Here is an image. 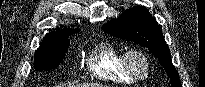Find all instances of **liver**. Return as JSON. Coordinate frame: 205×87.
Segmentation results:
<instances>
[{"label": "liver", "instance_id": "liver-1", "mask_svg": "<svg viewBox=\"0 0 205 87\" xmlns=\"http://www.w3.org/2000/svg\"><path fill=\"white\" fill-rule=\"evenodd\" d=\"M76 87H103V86L101 84H82V85H77Z\"/></svg>", "mask_w": 205, "mask_h": 87}]
</instances>
